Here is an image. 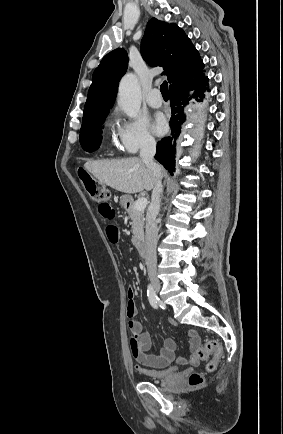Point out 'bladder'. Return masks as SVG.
Segmentation results:
<instances>
[{
	"label": "bladder",
	"instance_id": "31cf9c89",
	"mask_svg": "<svg viewBox=\"0 0 283 434\" xmlns=\"http://www.w3.org/2000/svg\"><path fill=\"white\" fill-rule=\"evenodd\" d=\"M178 368L177 367H169L165 369H151L146 368L141 373L148 379V380H164L169 377L174 376L177 374Z\"/></svg>",
	"mask_w": 283,
	"mask_h": 434
}]
</instances>
